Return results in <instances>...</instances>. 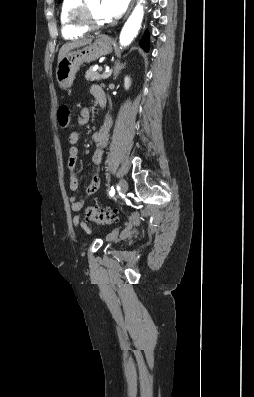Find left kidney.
Listing matches in <instances>:
<instances>
[{"label":"left kidney","mask_w":254,"mask_h":397,"mask_svg":"<svg viewBox=\"0 0 254 397\" xmlns=\"http://www.w3.org/2000/svg\"><path fill=\"white\" fill-rule=\"evenodd\" d=\"M130 85H131V79H130V77L126 76L125 79H124V87H125V89L128 90Z\"/></svg>","instance_id":"5707ae66"}]
</instances>
